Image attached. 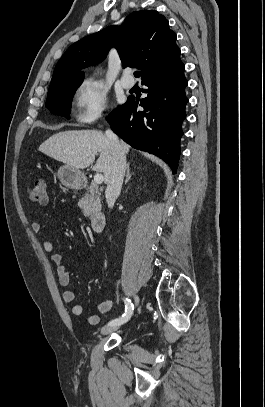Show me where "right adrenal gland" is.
I'll return each instance as SVG.
<instances>
[{"instance_id": "2a0ac1e0", "label": "right adrenal gland", "mask_w": 265, "mask_h": 407, "mask_svg": "<svg viewBox=\"0 0 265 407\" xmlns=\"http://www.w3.org/2000/svg\"><path fill=\"white\" fill-rule=\"evenodd\" d=\"M131 178V174H130V163H127L126 165V180H125V184H127L129 182Z\"/></svg>"}]
</instances>
